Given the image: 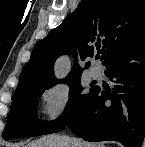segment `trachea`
<instances>
[{"instance_id": "trachea-1", "label": "trachea", "mask_w": 145, "mask_h": 147, "mask_svg": "<svg viewBox=\"0 0 145 147\" xmlns=\"http://www.w3.org/2000/svg\"><path fill=\"white\" fill-rule=\"evenodd\" d=\"M99 57H100V55H99V53H98L97 58H99Z\"/></svg>"}]
</instances>
